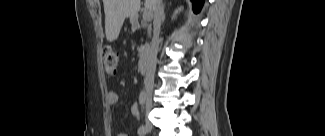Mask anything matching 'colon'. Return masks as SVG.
Segmentation results:
<instances>
[{
  "mask_svg": "<svg viewBox=\"0 0 325 136\" xmlns=\"http://www.w3.org/2000/svg\"><path fill=\"white\" fill-rule=\"evenodd\" d=\"M104 69L108 74H115L120 61L119 52L111 47L105 46L102 51Z\"/></svg>",
  "mask_w": 325,
  "mask_h": 136,
  "instance_id": "5ec220e1",
  "label": "colon"
}]
</instances>
